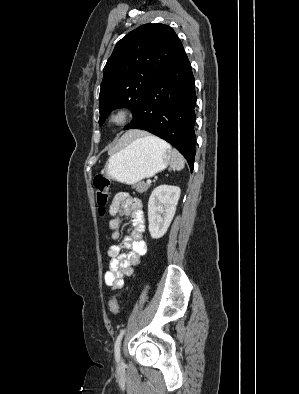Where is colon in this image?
<instances>
[{"label":"colon","mask_w":299,"mask_h":394,"mask_svg":"<svg viewBox=\"0 0 299 394\" xmlns=\"http://www.w3.org/2000/svg\"><path fill=\"white\" fill-rule=\"evenodd\" d=\"M93 187L95 189L96 201L99 206L100 213L104 214L105 206L107 205L110 197V179L105 173H98L93 178ZM109 309L114 315L118 313L119 305L114 296H112L109 301Z\"/></svg>","instance_id":"colon-1"}]
</instances>
